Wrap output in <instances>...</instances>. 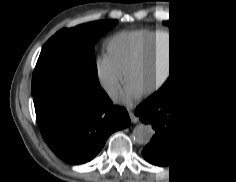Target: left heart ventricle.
<instances>
[{
    "mask_svg": "<svg viewBox=\"0 0 236 182\" xmlns=\"http://www.w3.org/2000/svg\"><path fill=\"white\" fill-rule=\"evenodd\" d=\"M164 43H159L150 59L143 66L136 68L132 74L134 82L140 86L154 84L162 75L167 64V49Z\"/></svg>",
    "mask_w": 236,
    "mask_h": 182,
    "instance_id": "b2bd125f",
    "label": "left heart ventricle"
}]
</instances>
